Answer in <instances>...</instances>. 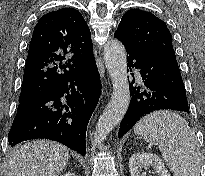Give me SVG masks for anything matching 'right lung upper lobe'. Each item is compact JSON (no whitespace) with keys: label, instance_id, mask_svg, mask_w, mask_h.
Here are the masks:
<instances>
[{"label":"right lung upper lobe","instance_id":"obj_1","mask_svg":"<svg viewBox=\"0 0 205 176\" xmlns=\"http://www.w3.org/2000/svg\"><path fill=\"white\" fill-rule=\"evenodd\" d=\"M93 57L91 33L79 11L63 8L44 15L33 31L20 99H29Z\"/></svg>","mask_w":205,"mask_h":176}]
</instances>
